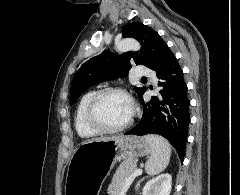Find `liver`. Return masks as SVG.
<instances>
[{
  "mask_svg": "<svg viewBox=\"0 0 240 195\" xmlns=\"http://www.w3.org/2000/svg\"><path fill=\"white\" fill-rule=\"evenodd\" d=\"M100 139H112V137H100Z\"/></svg>",
  "mask_w": 240,
  "mask_h": 195,
  "instance_id": "liver-1",
  "label": "liver"
}]
</instances>
